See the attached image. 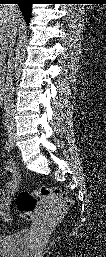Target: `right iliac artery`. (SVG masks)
<instances>
[{"mask_svg": "<svg viewBox=\"0 0 106 257\" xmlns=\"http://www.w3.org/2000/svg\"><path fill=\"white\" fill-rule=\"evenodd\" d=\"M11 147H12V145L10 143V140L9 139L6 140V142H5V149L7 150V152H10Z\"/></svg>", "mask_w": 106, "mask_h": 257, "instance_id": "82829eb1", "label": "right iliac artery"}]
</instances>
